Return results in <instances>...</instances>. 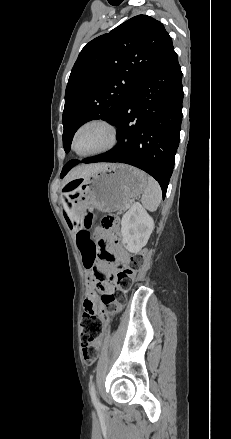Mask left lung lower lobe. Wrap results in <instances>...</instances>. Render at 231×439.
I'll return each mask as SVG.
<instances>
[{
  "mask_svg": "<svg viewBox=\"0 0 231 439\" xmlns=\"http://www.w3.org/2000/svg\"><path fill=\"white\" fill-rule=\"evenodd\" d=\"M182 72L172 47L132 89L114 122L118 144L82 163L120 162L150 174L163 198L179 146L183 101ZM79 163L71 160L68 171Z\"/></svg>",
  "mask_w": 231,
  "mask_h": 439,
  "instance_id": "left-lung-lower-lobe-1",
  "label": "left lung lower lobe"
}]
</instances>
